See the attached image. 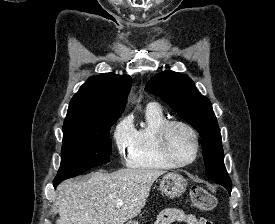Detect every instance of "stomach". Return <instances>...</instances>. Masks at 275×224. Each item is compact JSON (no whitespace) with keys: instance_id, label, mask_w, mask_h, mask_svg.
<instances>
[{"instance_id":"1","label":"stomach","mask_w":275,"mask_h":224,"mask_svg":"<svg viewBox=\"0 0 275 224\" xmlns=\"http://www.w3.org/2000/svg\"><path fill=\"white\" fill-rule=\"evenodd\" d=\"M186 185V180L177 173H168L160 180V190L169 198L181 196L186 190ZM127 224H138V222L131 221Z\"/></svg>"}]
</instances>
